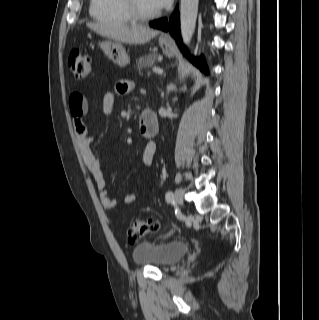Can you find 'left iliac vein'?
Masks as SVG:
<instances>
[{
    "mask_svg": "<svg viewBox=\"0 0 319 320\" xmlns=\"http://www.w3.org/2000/svg\"><path fill=\"white\" fill-rule=\"evenodd\" d=\"M174 201L178 204V205H182L183 201H184V191L181 189H177L175 191V195H174Z\"/></svg>",
    "mask_w": 319,
    "mask_h": 320,
    "instance_id": "left-iliac-vein-1",
    "label": "left iliac vein"
}]
</instances>
